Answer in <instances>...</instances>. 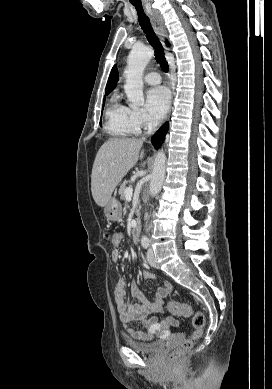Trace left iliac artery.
Returning a JSON list of instances; mask_svg holds the SVG:
<instances>
[{
  "label": "left iliac artery",
  "mask_w": 272,
  "mask_h": 389,
  "mask_svg": "<svg viewBox=\"0 0 272 389\" xmlns=\"http://www.w3.org/2000/svg\"><path fill=\"white\" fill-rule=\"evenodd\" d=\"M142 246H143L144 248H147V247L149 246V239H143V240H142Z\"/></svg>",
  "instance_id": "1"
}]
</instances>
